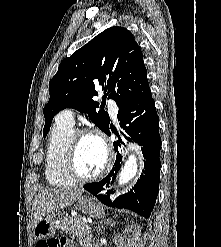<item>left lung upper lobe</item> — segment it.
<instances>
[{
  "label": "left lung upper lobe",
  "mask_w": 221,
  "mask_h": 247,
  "mask_svg": "<svg viewBox=\"0 0 221 247\" xmlns=\"http://www.w3.org/2000/svg\"><path fill=\"white\" fill-rule=\"evenodd\" d=\"M108 90L105 97L117 106L151 94L142 51L132 33L123 27L106 29L82 48L65 58L49 82L50 98L43 109L49 132L53 117L65 108L87 113L90 120L105 132L110 118L94 101L95 87Z\"/></svg>",
  "instance_id": "1"
}]
</instances>
